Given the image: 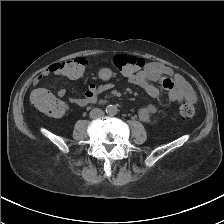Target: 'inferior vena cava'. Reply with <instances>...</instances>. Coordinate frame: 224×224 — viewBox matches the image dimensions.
I'll return each mask as SVG.
<instances>
[{
	"label": "inferior vena cava",
	"mask_w": 224,
	"mask_h": 224,
	"mask_svg": "<svg viewBox=\"0 0 224 224\" xmlns=\"http://www.w3.org/2000/svg\"><path fill=\"white\" fill-rule=\"evenodd\" d=\"M89 116L92 119H98L104 116V111L99 108H94L90 111Z\"/></svg>",
	"instance_id": "1"
}]
</instances>
